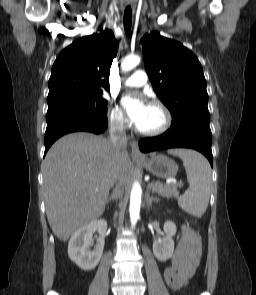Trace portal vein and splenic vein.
Masks as SVG:
<instances>
[{
	"mask_svg": "<svg viewBox=\"0 0 256 295\" xmlns=\"http://www.w3.org/2000/svg\"><path fill=\"white\" fill-rule=\"evenodd\" d=\"M174 185H176L177 187H182L183 183L182 182H178V183H174Z\"/></svg>",
	"mask_w": 256,
	"mask_h": 295,
	"instance_id": "18ae733b",
	"label": "portal vein and splenic vein"
}]
</instances>
